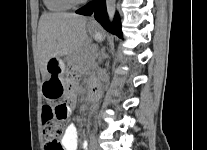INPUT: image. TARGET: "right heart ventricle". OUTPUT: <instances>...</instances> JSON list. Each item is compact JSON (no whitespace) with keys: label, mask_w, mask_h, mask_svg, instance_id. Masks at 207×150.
I'll list each match as a JSON object with an SVG mask.
<instances>
[{"label":"right heart ventricle","mask_w":207,"mask_h":150,"mask_svg":"<svg viewBox=\"0 0 207 150\" xmlns=\"http://www.w3.org/2000/svg\"><path fill=\"white\" fill-rule=\"evenodd\" d=\"M43 2L51 12H65L72 7L67 0H43Z\"/></svg>","instance_id":"e07e8e85"}]
</instances>
